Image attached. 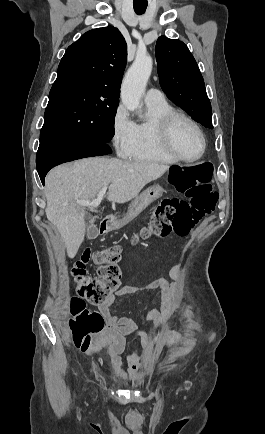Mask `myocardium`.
<instances>
[{"label": "myocardium", "instance_id": "myocardium-1", "mask_svg": "<svg viewBox=\"0 0 265 434\" xmlns=\"http://www.w3.org/2000/svg\"><path fill=\"white\" fill-rule=\"evenodd\" d=\"M179 121H184L188 124H190L198 133V135L201 138V142H202V150L201 153L193 158V159H186L184 157H182L178 150L176 149V146L174 144V140H173V136L175 134V126ZM162 142L166 148V150L168 151V153L178 162L180 163H184V164H195L199 161H201L208 149V142H207V138L203 132V130L201 129L200 125L190 116L173 110L170 113H168L163 121H162Z\"/></svg>", "mask_w": 265, "mask_h": 434}]
</instances>
